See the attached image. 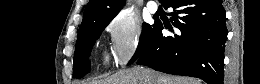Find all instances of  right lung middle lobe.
Segmentation results:
<instances>
[{
	"label": "right lung middle lobe",
	"mask_w": 260,
	"mask_h": 84,
	"mask_svg": "<svg viewBox=\"0 0 260 84\" xmlns=\"http://www.w3.org/2000/svg\"><path fill=\"white\" fill-rule=\"evenodd\" d=\"M111 20L98 21L88 27L79 37H77L75 54H74V66L73 75L76 78L83 77L90 70L89 56L91 49L95 44L96 39L99 38L103 29L109 24ZM156 23L148 25L143 23V31L140 37L138 48L136 53L132 57V63L139 57H141L149 48L153 34L155 32Z\"/></svg>",
	"instance_id": "1"
}]
</instances>
